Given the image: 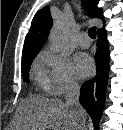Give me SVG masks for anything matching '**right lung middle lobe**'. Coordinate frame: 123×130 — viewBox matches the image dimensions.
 I'll return each mask as SVG.
<instances>
[{
    "label": "right lung middle lobe",
    "instance_id": "obj_1",
    "mask_svg": "<svg viewBox=\"0 0 123 130\" xmlns=\"http://www.w3.org/2000/svg\"><path fill=\"white\" fill-rule=\"evenodd\" d=\"M37 54H31L22 57V74L28 80L30 65Z\"/></svg>",
    "mask_w": 123,
    "mask_h": 130
}]
</instances>
